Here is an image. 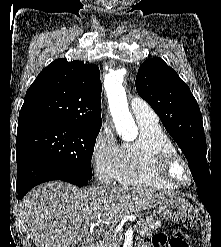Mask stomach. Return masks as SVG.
<instances>
[{"mask_svg": "<svg viewBox=\"0 0 221 247\" xmlns=\"http://www.w3.org/2000/svg\"><path fill=\"white\" fill-rule=\"evenodd\" d=\"M191 206L187 200L181 197H173L159 204L158 215L160 218L178 222L188 214Z\"/></svg>", "mask_w": 221, "mask_h": 247, "instance_id": "1", "label": "stomach"}]
</instances>
